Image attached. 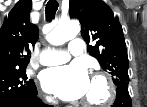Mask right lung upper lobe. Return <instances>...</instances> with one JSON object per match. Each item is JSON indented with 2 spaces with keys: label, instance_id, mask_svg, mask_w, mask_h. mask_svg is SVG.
<instances>
[{
  "label": "right lung upper lobe",
  "instance_id": "obj_1",
  "mask_svg": "<svg viewBox=\"0 0 147 107\" xmlns=\"http://www.w3.org/2000/svg\"><path fill=\"white\" fill-rule=\"evenodd\" d=\"M31 0H19L0 28V72L25 66L30 49L39 38V30L30 23Z\"/></svg>",
  "mask_w": 147,
  "mask_h": 107
}]
</instances>
